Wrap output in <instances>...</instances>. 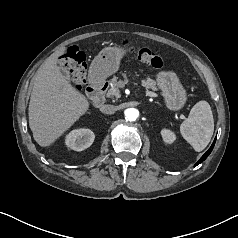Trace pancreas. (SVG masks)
Wrapping results in <instances>:
<instances>
[{
    "label": "pancreas",
    "mask_w": 238,
    "mask_h": 238,
    "mask_svg": "<svg viewBox=\"0 0 238 238\" xmlns=\"http://www.w3.org/2000/svg\"><path fill=\"white\" fill-rule=\"evenodd\" d=\"M141 84L144 88L146 89H152V90H156L157 88L155 87V81L153 79L147 78L145 80L141 81ZM110 89L107 92V97L109 98H113L115 97L116 99L120 98V90L119 88H121L123 86V82L121 80H118V77H113L110 80Z\"/></svg>",
    "instance_id": "1"
}]
</instances>
